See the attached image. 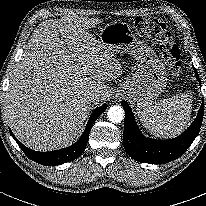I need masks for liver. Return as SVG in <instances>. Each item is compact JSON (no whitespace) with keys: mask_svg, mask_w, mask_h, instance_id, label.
<instances>
[{"mask_svg":"<svg viewBox=\"0 0 206 206\" xmlns=\"http://www.w3.org/2000/svg\"><path fill=\"white\" fill-rule=\"evenodd\" d=\"M98 23L64 16L45 20L33 31L4 103L10 127L25 146L52 151L72 143L91 104L107 99L105 82L121 76L115 54L88 31ZM91 93L101 98L92 102Z\"/></svg>","mask_w":206,"mask_h":206,"instance_id":"obj_1","label":"liver"}]
</instances>
